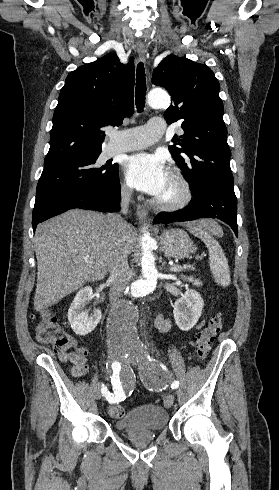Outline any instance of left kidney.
Segmentation results:
<instances>
[{
  "instance_id": "left-kidney-1",
  "label": "left kidney",
  "mask_w": 279,
  "mask_h": 490,
  "mask_svg": "<svg viewBox=\"0 0 279 490\" xmlns=\"http://www.w3.org/2000/svg\"><path fill=\"white\" fill-rule=\"evenodd\" d=\"M173 308L176 326L183 332H189L202 316L203 298L195 290H186L184 296L176 300Z\"/></svg>"
}]
</instances>
